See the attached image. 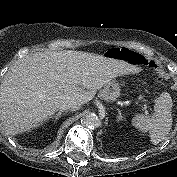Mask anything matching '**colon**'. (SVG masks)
I'll return each mask as SVG.
<instances>
[{
  "label": "colon",
  "mask_w": 177,
  "mask_h": 177,
  "mask_svg": "<svg viewBox=\"0 0 177 177\" xmlns=\"http://www.w3.org/2000/svg\"><path fill=\"white\" fill-rule=\"evenodd\" d=\"M149 66H150L152 69H154L155 71L158 70V65H157L155 62H153V61L149 62ZM157 81H158L159 83H163L164 77L161 76V75H159V76L157 77Z\"/></svg>",
  "instance_id": "colon-1"
}]
</instances>
